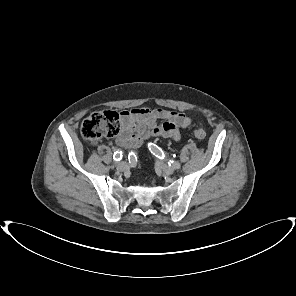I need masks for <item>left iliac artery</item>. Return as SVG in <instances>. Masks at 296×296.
I'll use <instances>...</instances> for the list:
<instances>
[{"mask_svg":"<svg viewBox=\"0 0 296 296\" xmlns=\"http://www.w3.org/2000/svg\"><path fill=\"white\" fill-rule=\"evenodd\" d=\"M148 147H149V150L151 151V153H153L154 155H156L159 158H164V153L157 145H155L153 143H149ZM168 165L174 167L175 169L180 168V163L177 161L170 160L168 162Z\"/></svg>","mask_w":296,"mask_h":296,"instance_id":"44dca946","label":"left iliac artery"}]
</instances>
